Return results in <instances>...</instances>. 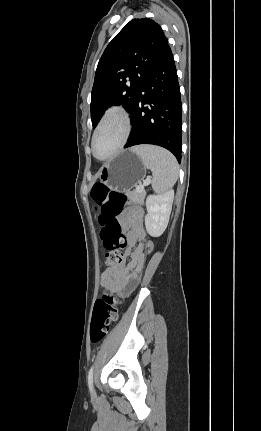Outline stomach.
<instances>
[{
	"label": "stomach",
	"mask_w": 261,
	"mask_h": 431,
	"mask_svg": "<svg viewBox=\"0 0 261 431\" xmlns=\"http://www.w3.org/2000/svg\"><path fill=\"white\" fill-rule=\"evenodd\" d=\"M146 174L141 158L130 150L115 155L100 170L99 178L108 187L126 192L140 183Z\"/></svg>",
	"instance_id": "0dacf381"
}]
</instances>
